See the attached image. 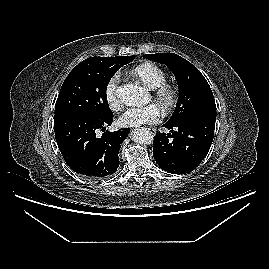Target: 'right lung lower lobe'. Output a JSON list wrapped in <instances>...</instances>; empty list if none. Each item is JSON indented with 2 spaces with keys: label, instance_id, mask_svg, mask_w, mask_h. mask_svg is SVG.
Masks as SVG:
<instances>
[{
  "label": "right lung lower lobe",
  "instance_id": "98d812e1",
  "mask_svg": "<svg viewBox=\"0 0 269 269\" xmlns=\"http://www.w3.org/2000/svg\"><path fill=\"white\" fill-rule=\"evenodd\" d=\"M113 115L100 118L82 112L54 115V132L59 150L67 165L76 173L91 180L105 178L117 171L118 152L129 128L106 131L99 138L98 129L105 130Z\"/></svg>",
  "mask_w": 269,
  "mask_h": 269
}]
</instances>
